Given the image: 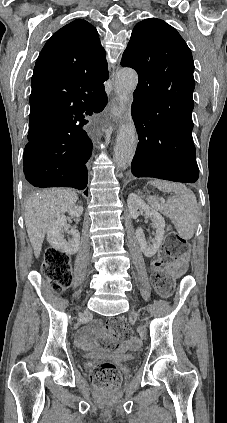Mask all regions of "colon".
I'll use <instances>...</instances> for the list:
<instances>
[{
    "label": "colon",
    "instance_id": "1",
    "mask_svg": "<svg viewBox=\"0 0 227 423\" xmlns=\"http://www.w3.org/2000/svg\"><path fill=\"white\" fill-rule=\"evenodd\" d=\"M186 249L185 241L175 232H169L158 257L152 263L151 281L155 289L161 295H168L172 288V280L165 270L169 263L180 259ZM42 273L49 279L53 290L60 294L71 283V263L69 256L55 248H49L45 252ZM131 330L122 319L112 321L102 333L101 348H109L116 338L126 339ZM90 378L98 386L109 388L118 382L120 373L117 367L110 363L94 366Z\"/></svg>",
    "mask_w": 227,
    "mask_h": 423
}]
</instances>
